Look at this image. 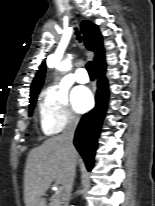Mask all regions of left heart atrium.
Masks as SVG:
<instances>
[{"label": "left heart atrium", "mask_w": 155, "mask_h": 206, "mask_svg": "<svg viewBox=\"0 0 155 206\" xmlns=\"http://www.w3.org/2000/svg\"><path fill=\"white\" fill-rule=\"evenodd\" d=\"M72 104L77 112H85L91 106L93 102L90 91L85 87H77L72 92Z\"/></svg>", "instance_id": "obj_1"}]
</instances>
